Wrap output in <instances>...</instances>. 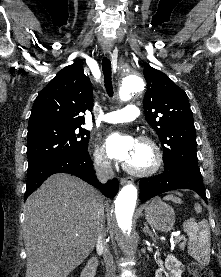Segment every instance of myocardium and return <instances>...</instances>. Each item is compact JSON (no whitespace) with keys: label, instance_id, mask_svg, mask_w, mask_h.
Masks as SVG:
<instances>
[{"label":"myocardium","instance_id":"f54148a6","mask_svg":"<svg viewBox=\"0 0 221 277\" xmlns=\"http://www.w3.org/2000/svg\"><path fill=\"white\" fill-rule=\"evenodd\" d=\"M138 142L147 145L150 148V150L152 151L153 161H152L151 165L147 168L138 169V168H133V167L129 166L128 164L124 163L123 169L127 173H129L133 176H137V177L151 176V175L155 174L162 165L163 154H162L161 148L152 138L147 137V136H140L138 138Z\"/></svg>","mask_w":221,"mask_h":277}]
</instances>
